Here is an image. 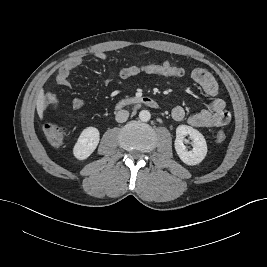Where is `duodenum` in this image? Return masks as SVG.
<instances>
[{
  "label": "duodenum",
  "mask_w": 267,
  "mask_h": 267,
  "mask_svg": "<svg viewBox=\"0 0 267 267\" xmlns=\"http://www.w3.org/2000/svg\"><path fill=\"white\" fill-rule=\"evenodd\" d=\"M137 105H146L151 108H158L159 106L157 101L150 96H136L119 101L116 105V108L121 109L127 106H137Z\"/></svg>",
  "instance_id": "410a0bca"
}]
</instances>
